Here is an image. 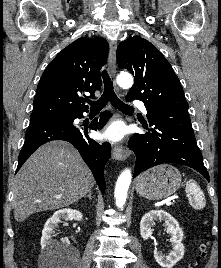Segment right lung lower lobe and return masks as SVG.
I'll use <instances>...</instances> for the list:
<instances>
[{"instance_id":"right-lung-lower-lobe-1","label":"right lung lower lobe","mask_w":221,"mask_h":268,"mask_svg":"<svg viewBox=\"0 0 221 268\" xmlns=\"http://www.w3.org/2000/svg\"><path fill=\"white\" fill-rule=\"evenodd\" d=\"M111 113L104 112L101 118L94 120L90 128L96 130L103 128ZM83 114L72 118L45 119L31 121L25 135V143L19 154L18 167L20 169L29 156L42 144L52 140H64L70 142L80 153L85 163L91 169L94 178L101 191L105 192L104 166L110 158L111 147L105 142L102 145L88 136V126L74 125L76 118H82Z\"/></svg>"}]
</instances>
